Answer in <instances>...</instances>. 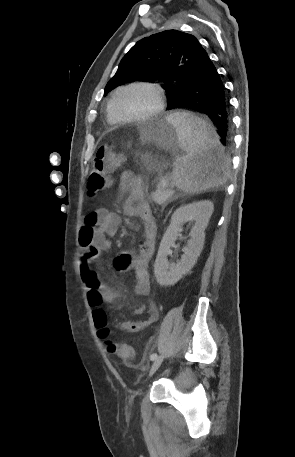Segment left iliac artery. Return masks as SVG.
Instances as JSON below:
<instances>
[{"instance_id":"44dca946","label":"left iliac artery","mask_w":295,"mask_h":457,"mask_svg":"<svg viewBox=\"0 0 295 457\" xmlns=\"http://www.w3.org/2000/svg\"><path fill=\"white\" fill-rule=\"evenodd\" d=\"M157 358V354L156 353H153L151 356H150V360H155Z\"/></svg>"}]
</instances>
